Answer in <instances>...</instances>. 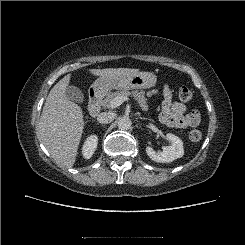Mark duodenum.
I'll return each instance as SVG.
<instances>
[{"label": "duodenum", "instance_id": "obj_1", "mask_svg": "<svg viewBox=\"0 0 245 245\" xmlns=\"http://www.w3.org/2000/svg\"><path fill=\"white\" fill-rule=\"evenodd\" d=\"M101 93L99 91L93 90L89 96L88 113L95 117L99 114L101 108Z\"/></svg>", "mask_w": 245, "mask_h": 245}]
</instances>
